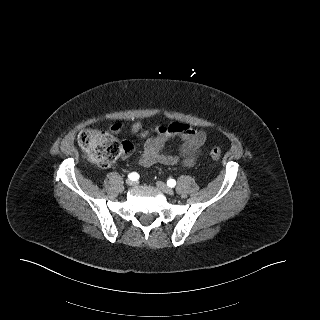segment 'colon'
I'll return each instance as SVG.
<instances>
[{
	"label": "colon",
	"instance_id": "obj_1",
	"mask_svg": "<svg viewBox=\"0 0 320 320\" xmlns=\"http://www.w3.org/2000/svg\"><path fill=\"white\" fill-rule=\"evenodd\" d=\"M78 142L89 158L100 167H108L121 154L124 146L116 138L105 131L86 129L79 133ZM130 149V147H128ZM210 156L218 161L221 157V151L218 147L210 150Z\"/></svg>",
	"mask_w": 320,
	"mask_h": 320
}]
</instances>
